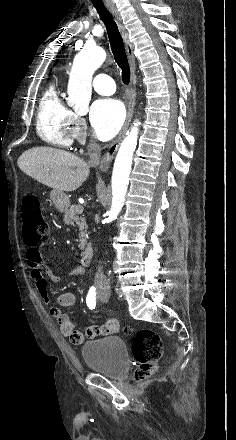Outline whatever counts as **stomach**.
<instances>
[{
	"label": "stomach",
	"mask_w": 236,
	"mask_h": 440,
	"mask_svg": "<svg viewBox=\"0 0 236 440\" xmlns=\"http://www.w3.org/2000/svg\"><path fill=\"white\" fill-rule=\"evenodd\" d=\"M50 199L59 212H66L69 207V198L63 191L53 190Z\"/></svg>",
	"instance_id": "stomach-1"
}]
</instances>
